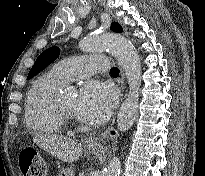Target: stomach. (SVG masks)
<instances>
[{"label":"stomach","mask_w":205,"mask_h":176,"mask_svg":"<svg viewBox=\"0 0 205 176\" xmlns=\"http://www.w3.org/2000/svg\"><path fill=\"white\" fill-rule=\"evenodd\" d=\"M88 152L91 153V154H97L99 153L101 150H102V147L101 146H94V147H88ZM74 175V172L72 169H65V170H62L60 172V176H73Z\"/></svg>","instance_id":"stomach-1"}]
</instances>
